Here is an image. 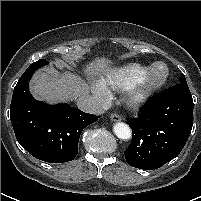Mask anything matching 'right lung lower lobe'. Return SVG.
<instances>
[{"mask_svg": "<svg viewBox=\"0 0 201 201\" xmlns=\"http://www.w3.org/2000/svg\"><path fill=\"white\" fill-rule=\"evenodd\" d=\"M40 67L29 66L16 84L10 105V120L19 144L33 157L64 163L78 153V141L85 127L99 116L67 104L47 105L33 98L29 80Z\"/></svg>", "mask_w": 201, "mask_h": 201, "instance_id": "obj_1", "label": "right lung lower lobe"}]
</instances>
